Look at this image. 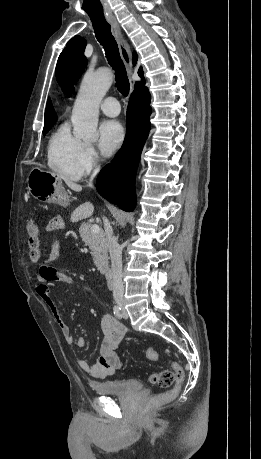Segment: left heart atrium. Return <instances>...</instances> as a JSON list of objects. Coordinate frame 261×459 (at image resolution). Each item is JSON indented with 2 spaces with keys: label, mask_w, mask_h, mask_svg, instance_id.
I'll return each mask as SVG.
<instances>
[{
  "label": "left heart atrium",
  "mask_w": 261,
  "mask_h": 459,
  "mask_svg": "<svg viewBox=\"0 0 261 459\" xmlns=\"http://www.w3.org/2000/svg\"><path fill=\"white\" fill-rule=\"evenodd\" d=\"M124 136V129L118 121H104L99 128V147L101 153L105 157L111 156L122 145Z\"/></svg>",
  "instance_id": "39dd6f15"
}]
</instances>
